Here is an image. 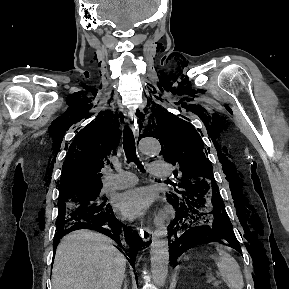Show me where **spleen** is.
Returning a JSON list of instances; mask_svg holds the SVG:
<instances>
[{
  "instance_id": "spleen-1",
  "label": "spleen",
  "mask_w": 289,
  "mask_h": 289,
  "mask_svg": "<svg viewBox=\"0 0 289 289\" xmlns=\"http://www.w3.org/2000/svg\"><path fill=\"white\" fill-rule=\"evenodd\" d=\"M219 257L216 261L219 276L229 289H243L244 281L239 264L222 246H216Z\"/></svg>"
}]
</instances>
